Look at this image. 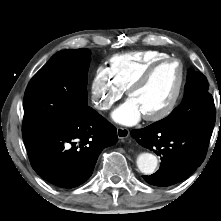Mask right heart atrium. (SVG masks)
Here are the masks:
<instances>
[{
    "label": "right heart atrium",
    "instance_id": "right-heart-atrium-1",
    "mask_svg": "<svg viewBox=\"0 0 221 221\" xmlns=\"http://www.w3.org/2000/svg\"><path fill=\"white\" fill-rule=\"evenodd\" d=\"M93 106L99 111L109 110L121 99L125 90L113 79L108 68L99 66L90 85Z\"/></svg>",
    "mask_w": 221,
    "mask_h": 221
}]
</instances>
